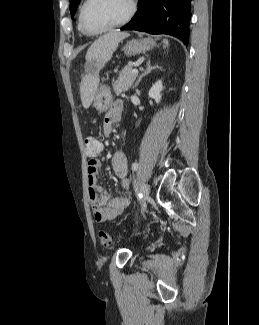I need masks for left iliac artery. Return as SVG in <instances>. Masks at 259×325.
<instances>
[{
	"instance_id": "obj_1",
	"label": "left iliac artery",
	"mask_w": 259,
	"mask_h": 325,
	"mask_svg": "<svg viewBox=\"0 0 259 325\" xmlns=\"http://www.w3.org/2000/svg\"><path fill=\"white\" fill-rule=\"evenodd\" d=\"M138 166H139L138 163H137V162H134V163L132 164V167H131V168H132L133 171H135V169L138 168ZM141 196H142V195H141Z\"/></svg>"
}]
</instances>
